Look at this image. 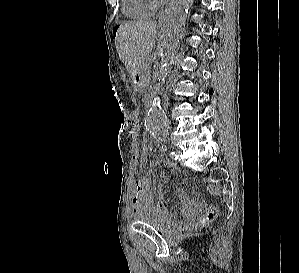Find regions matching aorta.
Masks as SVG:
<instances>
[{"mask_svg":"<svg viewBox=\"0 0 299 273\" xmlns=\"http://www.w3.org/2000/svg\"><path fill=\"white\" fill-rule=\"evenodd\" d=\"M190 0H174L168 13V21L163 33L161 61L158 69L160 77H165L171 59L177 53L179 41L186 20ZM146 129L161 137L167 131V119L158 96L153 98L146 116Z\"/></svg>","mask_w":299,"mask_h":273,"instance_id":"aorta-1","label":"aorta"}]
</instances>
